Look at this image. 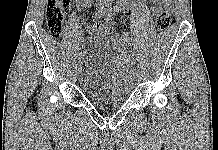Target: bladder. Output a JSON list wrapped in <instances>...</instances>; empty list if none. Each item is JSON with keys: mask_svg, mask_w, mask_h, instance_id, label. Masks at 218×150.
Listing matches in <instances>:
<instances>
[{"mask_svg": "<svg viewBox=\"0 0 218 150\" xmlns=\"http://www.w3.org/2000/svg\"><path fill=\"white\" fill-rule=\"evenodd\" d=\"M124 66L117 41L101 35L89 39L79 83L91 104L105 109L120 108L127 102L132 80Z\"/></svg>", "mask_w": 218, "mask_h": 150, "instance_id": "31cf9c89", "label": "bladder"}]
</instances>
